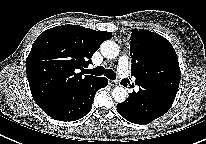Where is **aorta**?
Wrapping results in <instances>:
<instances>
[{
	"instance_id": "aorta-1",
	"label": "aorta",
	"mask_w": 206,
	"mask_h": 144,
	"mask_svg": "<svg viewBox=\"0 0 206 144\" xmlns=\"http://www.w3.org/2000/svg\"><path fill=\"white\" fill-rule=\"evenodd\" d=\"M102 55L107 59H114L119 55L120 48L118 44L112 40H106L100 47ZM113 99L122 103L127 99L128 93L123 86H116L112 91Z\"/></svg>"
}]
</instances>
